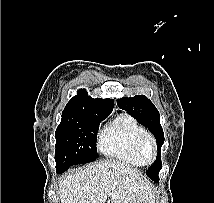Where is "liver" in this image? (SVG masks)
I'll return each instance as SVG.
<instances>
[{
	"mask_svg": "<svg viewBox=\"0 0 214 203\" xmlns=\"http://www.w3.org/2000/svg\"><path fill=\"white\" fill-rule=\"evenodd\" d=\"M59 198L61 203H155L153 187L142 173L115 160L66 173Z\"/></svg>",
	"mask_w": 214,
	"mask_h": 203,
	"instance_id": "liver-1",
	"label": "liver"
}]
</instances>
